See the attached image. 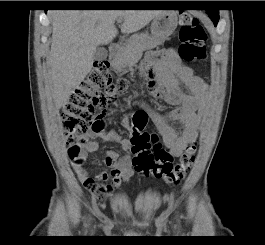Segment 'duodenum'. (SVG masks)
Instances as JSON below:
<instances>
[{
    "instance_id": "duodenum-1",
    "label": "duodenum",
    "mask_w": 265,
    "mask_h": 245,
    "mask_svg": "<svg viewBox=\"0 0 265 245\" xmlns=\"http://www.w3.org/2000/svg\"><path fill=\"white\" fill-rule=\"evenodd\" d=\"M120 44L118 42H114L109 47V58L111 60H116L119 56Z\"/></svg>"
}]
</instances>
